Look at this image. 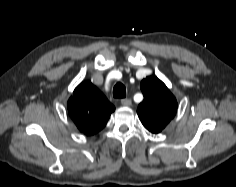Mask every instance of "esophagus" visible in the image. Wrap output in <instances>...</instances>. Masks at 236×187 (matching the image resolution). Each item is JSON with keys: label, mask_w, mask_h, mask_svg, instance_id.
I'll return each instance as SVG.
<instances>
[{"label": "esophagus", "mask_w": 236, "mask_h": 187, "mask_svg": "<svg viewBox=\"0 0 236 187\" xmlns=\"http://www.w3.org/2000/svg\"><path fill=\"white\" fill-rule=\"evenodd\" d=\"M121 104L125 107H129V106L132 105V102H131L130 99L124 98V99L121 100Z\"/></svg>", "instance_id": "esophagus-1"}]
</instances>
